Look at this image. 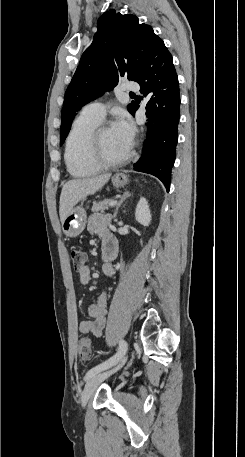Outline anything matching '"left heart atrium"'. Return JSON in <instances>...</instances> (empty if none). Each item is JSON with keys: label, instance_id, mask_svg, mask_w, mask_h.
<instances>
[{"label": "left heart atrium", "instance_id": "obj_1", "mask_svg": "<svg viewBox=\"0 0 245 457\" xmlns=\"http://www.w3.org/2000/svg\"><path fill=\"white\" fill-rule=\"evenodd\" d=\"M113 129L121 140L129 147L132 143L134 134L133 124L129 117L125 114L120 115L117 118Z\"/></svg>", "mask_w": 245, "mask_h": 457}]
</instances>
